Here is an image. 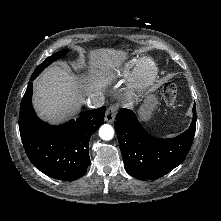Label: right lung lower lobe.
Segmentation results:
<instances>
[{"label":"right lung lower lobe","mask_w":221,"mask_h":221,"mask_svg":"<svg viewBox=\"0 0 221 221\" xmlns=\"http://www.w3.org/2000/svg\"><path fill=\"white\" fill-rule=\"evenodd\" d=\"M31 100L32 82H29L20 106L19 129L30 161L58 180L72 181L84 176L90 165L89 140L103 124L106 108L84 111L68 123L51 126L37 117Z\"/></svg>","instance_id":"98d812e1"}]
</instances>
